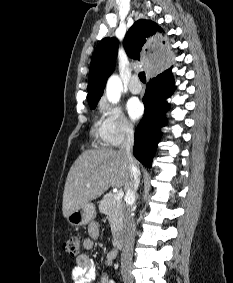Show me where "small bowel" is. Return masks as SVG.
<instances>
[{
	"instance_id": "small-bowel-1",
	"label": "small bowel",
	"mask_w": 233,
	"mask_h": 283,
	"mask_svg": "<svg viewBox=\"0 0 233 283\" xmlns=\"http://www.w3.org/2000/svg\"><path fill=\"white\" fill-rule=\"evenodd\" d=\"M100 236L98 226L95 223L89 226V237L83 241V247L85 250L90 251L95 248V240ZM116 250H111L106 255L105 262L107 265H111L116 258ZM72 279L74 283H92L96 277V268L93 260L86 253L79 255L76 259V265L72 269ZM99 283H115L113 278L108 272L102 273Z\"/></svg>"
}]
</instances>
